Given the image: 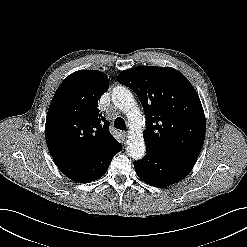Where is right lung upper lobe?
<instances>
[{"instance_id":"1","label":"right lung upper lobe","mask_w":247,"mask_h":247,"mask_svg":"<svg viewBox=\"0 0 247 247\" xmlns=\"http://www.w3.org/2000/svg\"><path fill=\"white\" fill-rule=\"evenodd\" d=\"M108 87L107 76L96 70L74 72L61 83L50 103L45 125L53 158L88 162L118 144L97 108Z\"/></svg>"}]
</instances>
